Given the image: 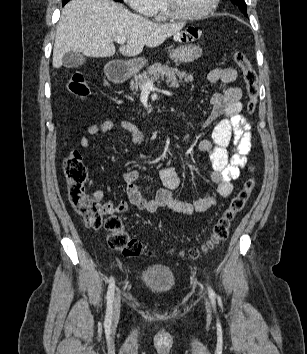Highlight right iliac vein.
Here are the masks:
<instances>
[{"instance_id": "right-iliac-vein-1", "label": "right iliac vein", "mask_w": 307, "mask_h": 354, "mask_svg": "<svg viewBox=\"0 0 307 354\" xmlns=\"http://www.w3.org/2000/svg\"><path fill=\"white\" fill-rule=\"evenodd\" d=\"M120 307H121V300H120V295L117 294L115 299H114V303H113V318L117 319L120 313Z\"/></svg>"}]
</instances>
